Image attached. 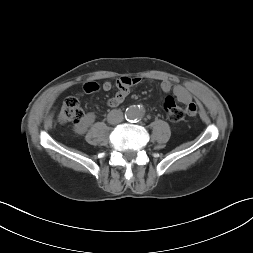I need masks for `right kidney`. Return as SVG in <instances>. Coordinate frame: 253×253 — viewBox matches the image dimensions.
Listing matches in <instances>:
<instances>
[{
    "mask_svg": "<svg viewBox=\"0 0 253 253\" xmlns=\"http://www.w3.org/2000/svg\"><path fill=\"white\" fill-rule=\"evenodd\" d=\"M94 113H88L82 118V121L75 127V132L78 134L86 133L88 127L94 122Z\"/></svg>",
    "mask_w": 253,
    "mask_h": 253,
    "instance_id": "right-kidney-1",
    "label": "right kidney"
}]
</instances>
